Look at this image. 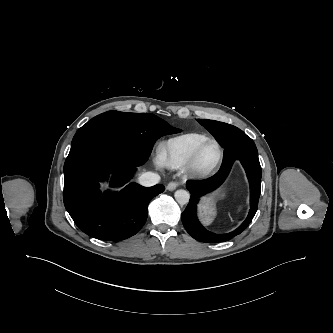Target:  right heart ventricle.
<instances>
[{
    "label": "right heart ventricle",
    "mask_w": 333,
    "mask_h": 333,
    "mask_svg": "<svg viewBox=\"0 0 333 333\" xmlns=\"http://www.w3.org/2000/svg\"><path fill=\"white\" fill-rule=\"evenodd\" d=\"M209 137L200 133H188L172 137L160 148V159L166 166L177 168L188 164L196 149Z\"/></svg>",
    "instance_id": "e07e8e85"
}]
</instances>
